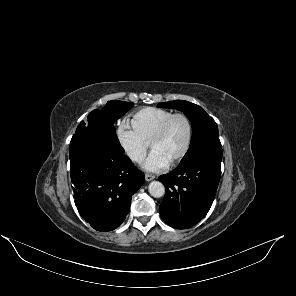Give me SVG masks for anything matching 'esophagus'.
Segmentation results:
<instances>
[{"label":"esophagus","instance_id":"obj_1","mask_svg":"<svg viewBox=\"0 0 296 296\" xmlns=\"http://www.w3.org/2000/svg\"><path fill=\"white\" fill-rule=\"evenodd\" d=\"M154 178H155V176L152 175V174H145V179H146V181H151V180H153Z\"/></svg>","mask_w":296,"mask_h":296}]
</instances>
